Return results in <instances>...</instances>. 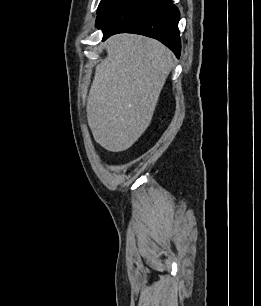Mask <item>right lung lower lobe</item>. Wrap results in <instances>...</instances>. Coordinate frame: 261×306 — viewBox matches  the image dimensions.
Instances as JSON below:
<instances>
[{"label": "right lung lower lobe", "instance_id": "obj_1", "mask_svg": "<svg viewBox=\"0 0 261 306\" xmlns=\"http://www.w3.org/2000/svg\"><path fill=\"white\" fill-rule=\"evenodd\" d=\"M180 13L171 0H112L97 16L103 41L117 33H136L155 38L179 58Z\"/></svg>", "mask_w": 261, "mask_h": 306}]
</instances>
